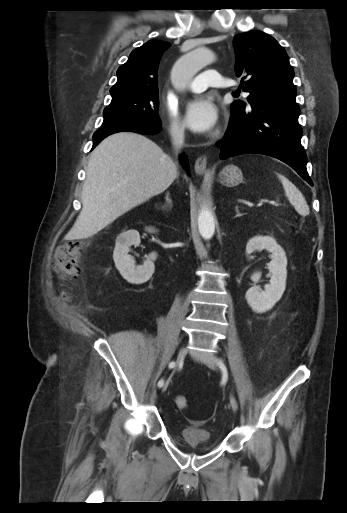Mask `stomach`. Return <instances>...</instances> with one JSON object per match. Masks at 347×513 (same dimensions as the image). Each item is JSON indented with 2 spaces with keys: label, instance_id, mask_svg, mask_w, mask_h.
Segmentation results:
<instances>
[{
  "label": "stomach",
  "instance_id": "stomach-1",
  "mask_svg": "<svg viewBox=\"0 0 347 513\" xmlns=\"http://www.w3.org/2000/svg\"><path fill=\"white\" fill-rule=\"evenodd\" d=\"M242 171L237 166L230 164L219 173V182L227 187H233L243 182Z\"/></svg>",
  "mask_w": 347,
  "mask_h": 513
}]
</instances>
